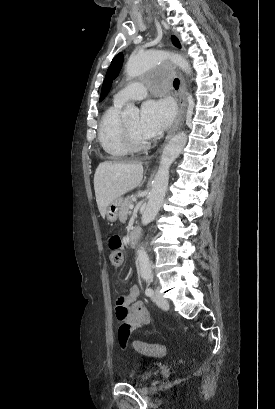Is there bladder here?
<instances>
[{"label":"bladder","mask_w":275,"mask_h":409,"mask_svg":"<svg viewBox=\"0 0 275 409\" xmlns=\"http://www.w3.org/2000/svg\"><path fill=\"white\" fill-rule=\"evenodd\" d=\"M154 378V372L138 373L125 377V382L129 384H142Z\"/></svg>","instance_id":"31cf9c89"}]
</instances>
